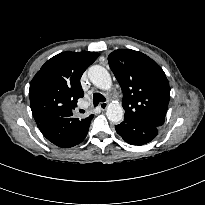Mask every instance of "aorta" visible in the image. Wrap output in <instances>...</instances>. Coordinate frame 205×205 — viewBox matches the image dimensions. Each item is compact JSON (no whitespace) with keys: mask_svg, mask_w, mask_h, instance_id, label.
<instances>
[{"mask_svg":"<svg viewBox=\"0 0 205 205\" xmlns=\"http://www.w3.org/2000/svg\"><path fill=\"white\" fill-rule=\"evenodd\" d=\"M88 77L93 85L102 90H109L112 86L109 72L100 65L91 66L88 70ZM106 116L109 121L119 123L123 120L124 110L118 102L113 101L106 108Z\"/></svg>","mask_w":205,"mask_h":205,"instance_id":"762f6f07","label":"aorta"}]
</instances>
